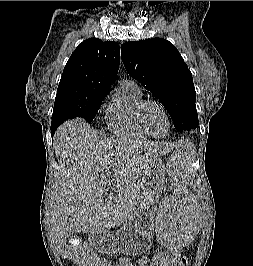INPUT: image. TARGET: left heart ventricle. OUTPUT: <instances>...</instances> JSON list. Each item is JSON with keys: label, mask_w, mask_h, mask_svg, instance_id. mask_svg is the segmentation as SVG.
Segmentation results:
<instances>
[{"label": "left heart ventricle", "mask_w": 253, "mask_h": 266, "mask_svg": "<svg viewBox=\"0 0 253 266\" xmlns=\"http://www.w3.org/2000/svg\"><path fill=\"white\" fill-rule=\"evenodd\" d=\"M144 123L156 135H163L167 130V120L163 111L156 105L150 104L144 111Z\"/></svg>", "instance_id": "obj_1"}]
</instances>
